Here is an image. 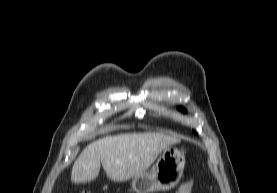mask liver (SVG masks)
I'll return each instance as SVG.
<instances>
[{"mask_svg":"<svg viewBox=\"0 0 277 193\" xmlns=\"http://www.w3.org/2000/svg\"><path fill=\"white\" fill-rule=\"evenodd\" d=\"M178 142L179 138L150 132L101 138L90 143L74 162L71 181L94 180L101 164L109 179L128 180L146 172L164 149Z\"/></svg>","mask_w":277,"mask_h":193,"instance_id":"obj_1","label":"liver"}]
</instances>
